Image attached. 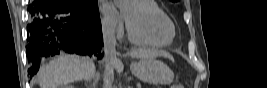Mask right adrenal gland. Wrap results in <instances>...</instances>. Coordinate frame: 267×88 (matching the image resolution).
Listing matches in <instances>:
<instances>
[{
  "instance_id": "1",
  "label": "right adrenal gland",
  "mask_w": 267,
  "mask_h": 88,
  "mask_svg": "<svg viewBox=\"0 0 267 88\" xmlns=\"http://www.w3.org/2000/svg\"><path fill=\"white\" fill-rule=\"evenodd\" d=\"M100 80V76L98 73H95L94 75V82L93 84H90V86H87V88H96L97 82Z\"/></svg>"
}]
</instances>
